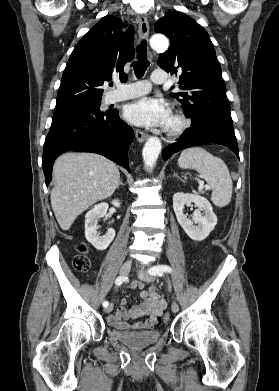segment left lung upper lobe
Listing matches in <instances>:
<instances>
[{
  "label": "left lung upper lobe",
  "instance_id": "5c2ea615",
  "mask_svg": "<svg viewBox=\"0 0 279 391\" xmlns=\"http://www.w3.org/2000/svg\"><path fill=\"white\" fill-rule=\"evenodd\" d=\"M154 29L170 39V48L159 56L158 65L180 74L177 88L182 91L172 96L182 104L184 114L192 121L213 115L232 122L221 67L206 30L178 11L165 14Z\"/></svg>",
  "mask_w": 279,
  "mask_h": 391
}]
</instances>
